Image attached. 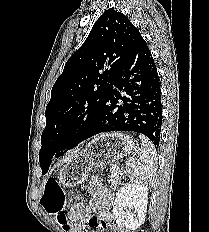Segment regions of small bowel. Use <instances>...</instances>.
Masks as SVG:
<instances>
[{
    "instance_id": "small-bowel-1",
    "label": "small bowel",
    "mask_w": 209,
    "mask_h": 232,
    "mask_svg": "<svg viewBox=\"0 0 209 232\" xmlns=\"http://www.w3.org/2000/svg\"><path fill=\"white\" fill-rule=\"evenodd\" d=\"M88 196L87 202L80 201L69 209L65 229L68 232H123L116 227L111 213V190L98 179H93L88 184Z\"/></svg>"
}]
</instances>
